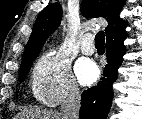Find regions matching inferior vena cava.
Here are the masks:
<instances>
[{"label":"inferior vena cava","instance_id":"obj_1","mask_svg":"<svg viewBox=\"0 0 142 119\" xmlns=\"http://www.w3.org/2000/svg\"><path fill=\"white\" fill-rule=\"evenodd\" d=\"M80 93L74 84L70 85L61 104L63 119H79Z\"/></svg>","mask_w":142,"mask_h":119}]
</instances>
